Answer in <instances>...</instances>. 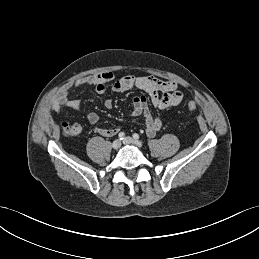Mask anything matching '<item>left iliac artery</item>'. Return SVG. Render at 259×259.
<instances>
[{
    "label": "left iliac artery",
    "instance_id": "44dca946",
    "mask_svg": "<svg viewBox=\"0 0 259 259\" xmlns=\"http://www.w3.org/2000/svg\"><path fill=\"white\" fill-rule=\"evenodd\" d=\"M133 138H134V139H139V135H138L137 133H134V134H133Z\"/></svg>",
    "mask_w": 259,
    "mask_h": 259
}]
</instances>
